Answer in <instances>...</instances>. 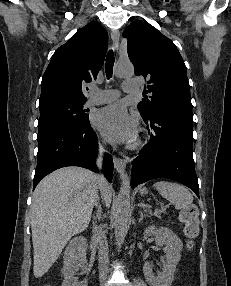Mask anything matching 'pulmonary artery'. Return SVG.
Returning <instances> with one entry per match:
<instances>
[{"instance_id": "obj_1", "label": "pulmonary artery", "mask_w": 231, "mask_h": 286, "mask_svg": "<svg viewBox=\"0 0 231 286\" xmlns=\"http://www.w3.org/2000/svg\"><path fill=\"white\" fill-rule=\"evenodd\" d=\"M123 90L126 93L136 94L140 91V83L135 79L126 80L123 84ZM91 91L92 94L86 102L88 106L109 103L119 97V92L115 89H99L92 87Z\"/></svg>"}]
</instances>
